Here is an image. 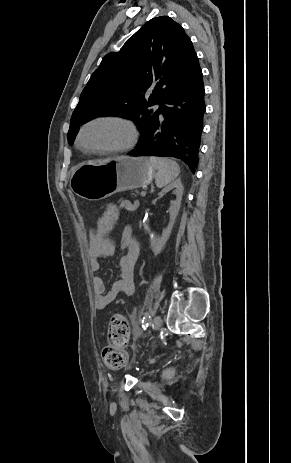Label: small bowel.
<instances>
[{
	"label": "small bowel",
	"mask_w": 291,
	"mask_h": 463,
	"mask_svg": "<svg viewBox=\"0 0 291 463\" xmlns=\"http://www.w3.org/2000/svg\"><path fill=\"white\" fill-rule=\"evenodd\" d=\"M111 231L99 233L97 224L96 228L90 232L88 256L90 268L94 274L92 288L95 294V306L99 310L106 308L119 295H132L135 291L134 268L139 255V244L133 237L129 226H126L121 234L120 245L123 256L120 260L119 278L107 290L103 278L98 274L101 270V259L114 253V242L109 237Z\"/></svg>",
	"instance_id": "small-bowel-1"
}]
</instances>
